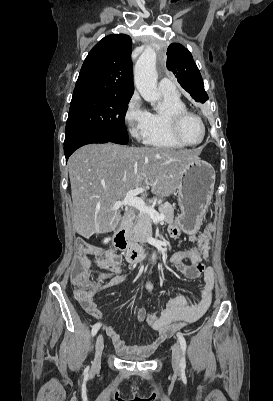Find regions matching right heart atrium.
Instances as JSON below:
<instances>
[{
	"instance_id": "d8ad5b80",
	"label": "right heart atrium",
	"mask_w": 273,
	"mask_h": 401,
	"mask_svg": "<svg viewBox=\"0 0 273 401\" xmlns=\"http://www.w3.org/2000/svg\"><path fill=\"white\" fill-rule=\"evenodd\" d=\"M150 112L144 107L139 95L134 94L125 111V122L130 135L137 141L145 138Z\"/></svg>"
}]
</instances>
